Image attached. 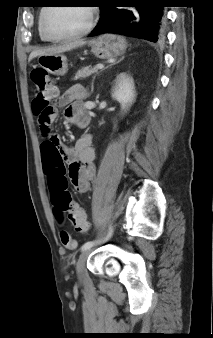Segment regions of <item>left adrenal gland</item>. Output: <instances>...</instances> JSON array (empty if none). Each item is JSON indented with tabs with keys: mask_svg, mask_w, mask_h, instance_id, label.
<instances>
[{
	"mask_svg": "<svg viewBox=\"0 0 213 338\" xmlns=\"http://www.w3.org/2000/svg\"><path fill=\"white\" fill-rule=\"evenodd\" d=\"M119 61H121V60H119ZM118 61V62H119ZM117 62V63H118ZM95 77H96V75L93 77V80H92V83H91V93L93 92V90H94V80H95Z\"/></svg>",
	"mask_w": 213,
	"mask_h": 338,
	"instance_id": "obj_1",
	"label": "left adrenal gland"
}]
</instances>
